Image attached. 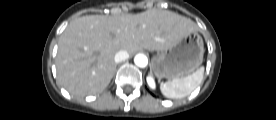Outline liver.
I'll list each match as a JSON object with an SVG mask.
<instances>
[{
    "label": "liver",
    "mask_w": 276,
    "mask_h": 120,
    "mask_svg": "<svg viewBox=\"0 0 276 120\" xmlns=\"http://www.w3.org/2000/svg\"><path fill=\"white\" fill-rule=\"evenodd\" d=\"M195 31L198 27L190 19L156 8L75 18L59 39L58 82L75 96L100 94L113 77L118 51H163Z\"/></svg>",
    "instance_id": "6515ba94"
}]
</instances>
